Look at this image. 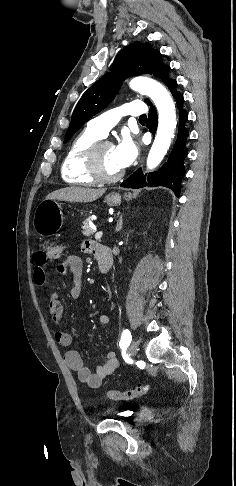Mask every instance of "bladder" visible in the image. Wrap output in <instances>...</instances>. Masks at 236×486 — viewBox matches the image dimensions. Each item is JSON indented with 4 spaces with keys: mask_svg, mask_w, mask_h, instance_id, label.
<instances>
[{
    "mask_svg": "<svg viewBox=\"0 0 236 486\" xmlns=\"http://www.w3.org/2000/svg\"><path fill=\"white\" fill-rule=\"evenodd\" d=\"M129 417H131V414L129 412H122L119 414V418L121 419H128Z\"/></svg>",
    "mask_w": 236,
    "mask_h": 486,
    "instance_id": "bladder-1",
    "label": "bladder"
}]
</instances>
